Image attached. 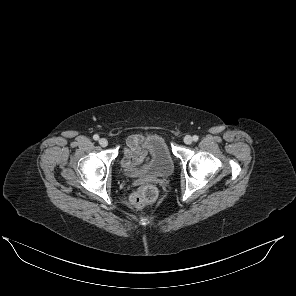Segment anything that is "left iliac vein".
Listing matches in <instances>:
<instances>
[{"instance_id": "obj_1", "label": "left iliac vein", "mask_w": 296, "mask_h": 296, "mask_svg": "<svg viewBox=\"0 0 296 296\" xmlns=\"http://www.w3.org/2000/svg\"><path fill=\"white\" fill-rule=\"evenodd\" d=\"M193 142V139L190 135L184 137V143L190 145Z\"/></svg>"}]
</instances>
